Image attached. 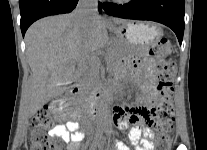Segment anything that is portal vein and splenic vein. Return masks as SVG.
Listing matches in <instances>:
<instances>
[{"label": "portal vein and splenic vein", "mask_w": 207, "mask_h": 150, "mask_svg": "<svg viewBox=\"0 0 207 150\" xmlns=\"http://www.w3.org/2000/svg\"><path fill=\"white\" fill-rule=\"evenodd\" d=\"M95 60H96L97 62H99V60H98L97 58H95Z\"/></svg>", "instance_id": "obj_1"}]
</instances>
